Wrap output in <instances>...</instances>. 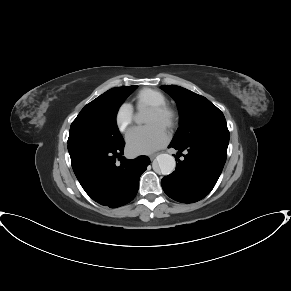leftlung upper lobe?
Here are the masks:
<instances>
[{
  "label": "left lung upper lobe",
  "instance_id": "left-lung-upper-lobe-1",
  "mask_svg": "<svg viewBox=\"0 0 291 291\" xmlns=\"http://www.w3.org/2000/svg\"><path fill=\"white\" fill-rule=\"evenodd\" d=\"M161 88L173 97L180 113V126L172 144L183 146L203 139L229 138L223 113L208 99L175 85Z\"/></svg>",
  "mask_w": 291,
  "mask_h": 291
}]
</instances>
